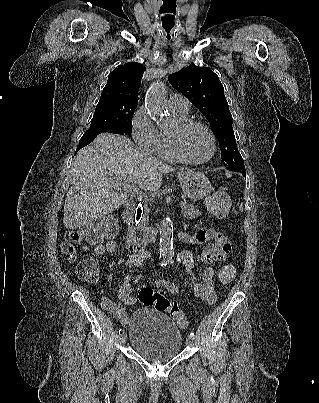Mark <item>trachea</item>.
<instances>
[{
  "instance_id": "3493384b",
  "label": "trachea",
  "mask_w": 319,
  "mask_h": 403,
  "mask_svg": "<svg viewBox=\"0 0 319 403\" xmlns=\"http://www.w3.org/2000/svg\"><path fill=\"white\" fill-rule=\"evenodd\" d=\"M162 26H163V29L165 30L166 38L168 40H170L171 39V32H172V29L174 27V21L162 22Z\"/></svg>"
}]
</instances>
